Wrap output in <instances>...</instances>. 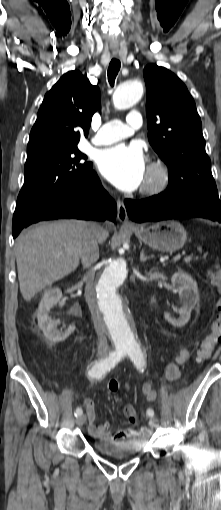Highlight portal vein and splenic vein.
<instances>
[{"label":"portal vein and splenic vein","mask_w":221,"mask_h":510,"mask_svg":"<svg viewBox=\"0 0 221 510\" xmlns=\"http://www.w3.org/2000/svg\"><path fill=\"white\" fill-rule=\"evenodd\" d=\"M179 259H180V255L175 256V257L173 258V260H174V261H177V260H179ZM191 260H192V256H187V257H185V258H184V261H185V262H189V261H191Z\"/></svg>","instance_id":"1"}]
</instances>
